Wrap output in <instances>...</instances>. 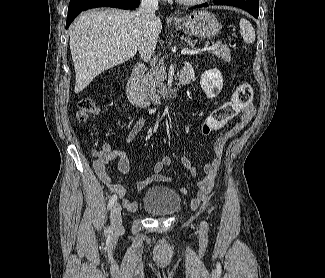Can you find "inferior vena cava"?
<instances>
[{
  "mask_svg": "<svg viewBox=\"0 0 325 278\" xmlns=\"http://www.w3.org/2000/svg\"><path fill=\"white\" fill-rule=\"evenodd\" d=\"M156 10H158V0H141L138 14L141 18L143 33L139 53L145 62L151 59L157 44Z\"/></svg>",
  "mask_w": 325,
  "mask_h": 278,
  "instance_id": "602c4592",
  "label": "inferior vena cava"
}]
</instances>
